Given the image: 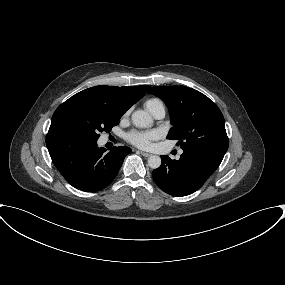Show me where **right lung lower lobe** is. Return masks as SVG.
I'll use <instances>...</instances> for the list:
<instances>
[{
	"label": "right lung lower lobe",
	"instance_id": "right-lung-lower-lobe-1",
	"mask_svg": "<svg viewBox=\"0 0 285 285\" xmlns=\"http://www.w3.org/2000/svg\"><path fill=\"white\" fill-rule=\"evenodd\" d=\"M51 159L73 187L96 192L108 186L116 177L129 147H113L110 152L97 146L79 132L58 124H51L46 136Z\"/></svg>",
	"mask_w": 285,
	"mask_h": 285
}]
</instances>
